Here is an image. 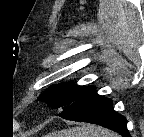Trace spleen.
Segmentation results:
<instances>
[{
  "label": "spleen",
  "mask_w": 144,
  "mask_h": 137,
  "mask_svg": "<svg viewBox=\"0 0 144 137\" xmlns=\"http://www.w3.org/2000/svg\"><path fill=\"white\" fill-rule=\"evenodd\" d=\"M55 137H118L115 133L104 129L103 127L82 124L80 126L72 127L62 130L55 135Z\"/></svg>",
  "instance_id": "spleen-1"
}]
</instances>
